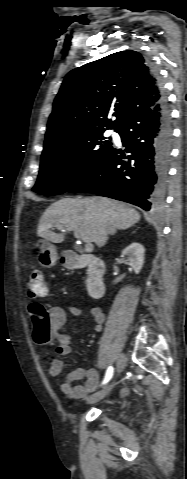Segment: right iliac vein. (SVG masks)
Returning a JSON list of instances; mask_svg holds the SVG:
<instances>
[{
	"instance_id": "1",
	"label": "right iliac vein",
	"mask_w": 187,
	"mask_h": 479,
	"mask_svg": "<svg viewBox=\"0 0 187 479\" xmlns=\"http://www.w3.org/2000/svg\"><path fill=\"white\" fill-rule=\"evenodd\" d=\"M125 364H126V358L123 354H121L119 357H118V360H117V367H116V371H117V375H119L124 367H125ZM115 386V382L111 383L110 385L106 386L104 389H102L101 391L97 392V393H94L93 395H91L89 398H88V402L89 403H95L101 399H103L106 395H108L112 389L114 388Z\"/></svg>"
}]
</instances>
